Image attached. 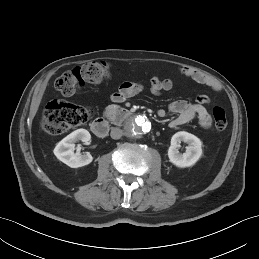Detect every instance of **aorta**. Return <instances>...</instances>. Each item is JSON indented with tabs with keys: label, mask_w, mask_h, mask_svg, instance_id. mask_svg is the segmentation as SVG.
<instances>
[{
	"label": "aorta",
	"mask_w": 259,
	"mask_h": 259,
	"mask_svg": "<svg viewBox=\"0 0 259 259\" xmlns=\"http://www.w3.org/2000/svg\"><path fill=\"white\" fill-rule=\"evenodd\" d=\"M127 130L130 136L140 137L151 130V123L146 117L137 116L129 121Z\"/></svg>",
	"instance_id": "obj_1"
}]
</instances>
